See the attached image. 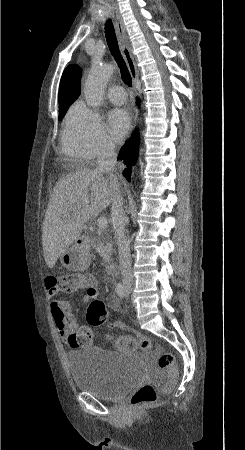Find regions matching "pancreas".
<instances>
[{
  "label": "pancreas",
  "instance_id": "obj_1",
  "mask_svg": "<svg viewBox=\"0 0 245 450\" xmlns=\"http://www.w3.org/2000/svg\"><path fill=\"white\" fill-rule=\"evenodd\" d=\"M97 233L101 235L102 231L98 230ZM95 249L104 261H109L111 254V244L108 241H106L104 238L99 239L97 244L95 245Z\"/></svg>",
  "mask_w": 245,
  "mask_h": 450
}]
</instances>
